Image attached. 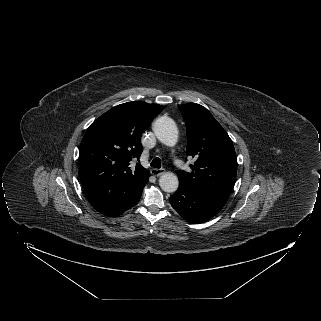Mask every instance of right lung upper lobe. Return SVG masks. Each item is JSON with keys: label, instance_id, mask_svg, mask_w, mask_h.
I'll list each match as a JSON object with an SVG mask.
<instances>
[{"label": "right lung upper lobe", "instance_id": "right-lung-upper-lobe-1", "mask_svg": "<svg viewBox=\"0 0 321 321\" xmlns=\"http://www.w3.org/2000/svg\"><path fill=\"white\" fill-rule=\"evenodd\" d=\"M164 109L139 101L118 105L87 129L79 148V173L91 202L132 197L148 181V171L132 160L142 153L141 133Z\"/></svg>", "mask_w": 321, "mask_h": 321}]
</instances>
